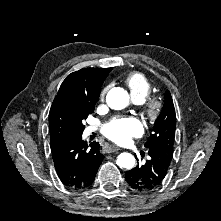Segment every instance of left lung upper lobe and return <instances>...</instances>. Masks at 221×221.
Returning <instances> with one entry per match:
<instances>
[{
	"label": "left lung upper lobe",
	"instance_id": "1",
	"mask_svg": "<svg viewBox=\"0 0 221 221\" xmlns=\"http://www.w3.org/2000/svg\"><path fill=\"white\" fill-rule=\"evenodd\" d=\"M176 129V114L170 92H165L162 111L156 119L145 147L149 149L163 148L173 154Z\"/></svg>",
	"mask_w": 221,
	"mask_h": 221
}]
</instances>
